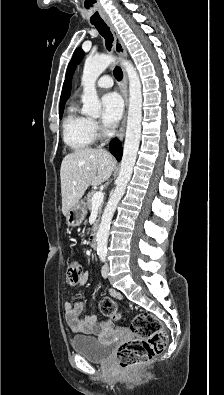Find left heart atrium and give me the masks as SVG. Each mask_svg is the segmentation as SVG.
Returning <instances> with one entry per match:
<instances>
[{
    "instance_id": "obj_1",
    "label": "left heart atrium",
    "mask_w": 224,
    "mask_h": 395,
    "mask_svg": "<svg viewBox=\"0 0 224 395\" xmlns=\"http://www.w3.org/2000/svg\"><path fill=\"white\" fill-rule=\"evenodd\" d=\"M102 121L105 126H114L121 118L123 111V102L121 97L115 93L110 92L102 97Z\"/></svg>"
}]
</instances>
